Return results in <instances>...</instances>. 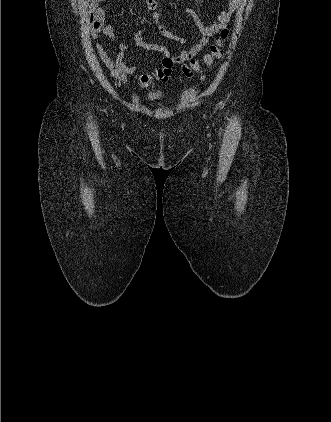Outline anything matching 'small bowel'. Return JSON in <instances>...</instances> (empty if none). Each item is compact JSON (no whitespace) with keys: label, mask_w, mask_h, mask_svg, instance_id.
<instances>
[{"label":"small bowel","mask_w":331,"mask_h":422,"mask_svg":"<svg viewBox=\"0 0 331 422\" xmlns=\"http://www.w3.org/2000/svg\"><path fill=\"white\" fill-rule=\"evenodd\" d=\"M100 0H97L92 9V35L95 38L106 36L113 43L115 42V30L110 24L104 23L105 12L102 7L99 6ZM146 7L152 12V17L157 23L159 32L181 44L186 43V39L181 36L174 35L168 31L164 26L159 24V13L157 11L156 0H144ZM242 0H228L227 6L216 14L215 20L209 24L204 25L192 8H186L185 13L189 14L199 32L201 38L195 42L192 46L183 48L176 53H172L170 48L166 45H160L155 43H148L143 39L144 30H138L134 35V41L136 47L146 51H157L162 54L160 65L153 66L151 72L141 77L139 85L141 87H147L154 80L167 81L172 74L173 67L176 64L190 62L202 51V49L208 43L210 37L222 30L226 24L231 20L232 16L240 8ZM100 58L107 66L111 75L120 83L124 84L127 81V76L136 71V65H128L125 63V57L128 53L133 50V47L128 44H118V54L115 58H112L105 48L103 41L99 40L96 44Z\"/></svg>","instance_id":"small-bowel-1"}]
</instances>
